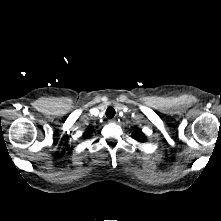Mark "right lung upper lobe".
Returning <instances> with one entry per match:
<instances>
[{
  "label": "right lung upper lobe",
  "mask_w": 221,
  "mask_h": 221,
  "mask_svg": "<svg viewBox=\"0 0 221 221\" xmlns=\"http://www.w3.org/2000/svg\"><path fill=\"white\" fill-rule=\"evenodd\" d=\"M92 134V129H88L83 135L88 137Z\"/></svg>",
  "instance_id": "obj_1"
}]
</instances>
